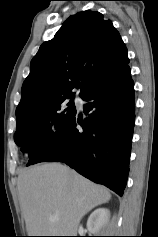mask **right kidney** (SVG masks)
I'll return each instance as SVG.
<instances>
[{"label": "right kidney", "instance_id": "right-kidney-1", "mask_svg": "<svg viewBox=\"0 0 158 237\" xmlns=\"http://www.w3.org/2000/svg\"><path fill=\"white\" fill-rule=\"evenodd\" d=\"M110 212L107 208H98L94 210L88 220L87 228L91 233H96L100 228L107 223Z\"/></svg>", "mask_w": 158, "mask_h": 237}]
</instances>
